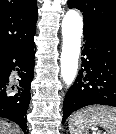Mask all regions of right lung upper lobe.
<instances>
[{"label": "right lung upper lobe", "instance_id": "right-lung-upper-lobe-1", "mask_svg": "<svg viewBox=\"0 0 116 134\" xmlns=\"http://www.w3.org/2000/svg\"><path fill=\"white\" fill-rule=\"evenodd\" d=\"M36 0H0V57L36 33Z\"/></svg>", "mask_w": 116, "mask_h": 134}]
</instances>
